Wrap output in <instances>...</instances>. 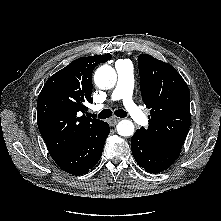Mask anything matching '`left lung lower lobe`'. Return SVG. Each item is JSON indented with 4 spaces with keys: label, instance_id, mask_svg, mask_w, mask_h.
<instances>
[{
    "label": "left lung lower lobe",
    "instance_id": "left-lung-lower-lobe-1",
    "mask_svg": "<svg viewBox=\"0 0 221 221\" xmlns=\"http://www.w3.org/2000/svg\"><path fill=\"white\" fill-rule=\"evenodd\" d=\"M131 150L139 166L150 173H159L166 170L180 154V152L160 147L139 130L132 137Z\"/></svg>",
    "mask_w": 221,
    "mask_h": 221
}]
</instances>
